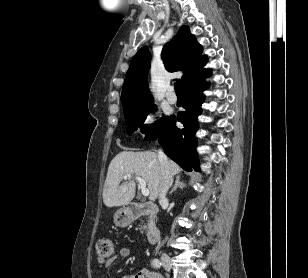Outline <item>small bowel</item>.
<instances>
[{
    "label": "small bowel",
    "mask_w": 308,
    "mask_h": 278,
    "mask_svg": "<svg viewBox=\"0 0 308 278\" xmlns=\"http://www.w3.org/2000/svg\"><path fill=\"white\" fill-rule=\"evenodd\" d=\"M131 256V251L128 248L119 249L110 259L106 262V266H110L113 262L120 258H128ZM123 278H162L158 273L148 269L140 268L127 273Z\"/></svg>",
    "instance_id": "obj_1"
}]
</instances>
